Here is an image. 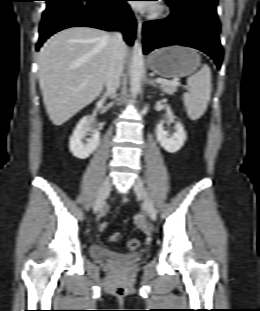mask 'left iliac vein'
Returning <instances> with one entry per match:
<instances>
[{
  "instance_id": "1",
  "label": "left iliac vein",
  "mask_w": 260,
  "mask_h": 311,
  "mask_svg": "<svg viewBox=\"0 0 260 311\" xmlns=\"http://www.w3.org/2000/svg\"><path fill=\"white\" fill-rule=\"evenodd\" d=\"M133 188L135 193L143 200L146 214L150 217L151 220H155L157 216L156 208L152 200L149 198L147 191L144 187L143 181L141 180L140 177L135 178L133 182Z\"/></svg>"
}]
</instances>
